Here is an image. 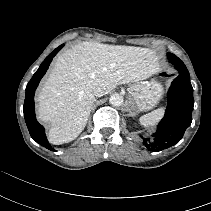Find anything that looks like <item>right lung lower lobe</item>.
<instances>
[{"label":"right lung lower lobe","mask_w":211,"mask_h":211,"mask_svg":"<svg viewBox=\"0 0 211 211\" xmlns=\"http://www.w3.org/2000/svg\"><path fill=\"white\" fill-rule=\"evenodd\" d=\"M63 47V45L56 48L51 54H49L46 59L42 62L39 69L34 73L32 79L29 81L26 87V96L24 102V117L31 137L39 143L41 146L54 151V148L49 144L47 137L45 135V129L41 126L35 116L34 111V93L39 84V81L46 73L52 58L57 54V52Z\"/></svg>","instance_id":"right-lung-lower-lobe-1"}]
</instances>
